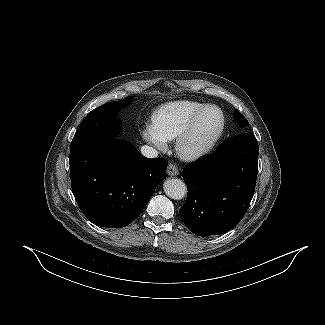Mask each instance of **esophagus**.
<instances>
[{
  "mask_svg": "<svg viewBox=\"0 0 325 325\" xmlns=\"http://www.w3.org/2000/svg\"><path fill=\"white\" fill-rule=\"evenodd\" d=\"M168 175L175 176L179 174L178 168L174 164H169L167 168Z\"/></svg>",
  "mask_w": 325,
  "mask_h": 325,
  "instance_id": "obj_1",
  "label": "esophagus"
}]
</instances>
